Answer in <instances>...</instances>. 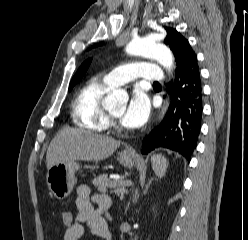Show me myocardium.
Masks as SVG:
<instances>
[{
	"instance_id": "myocardium-1",
	"label": "myocardium",
	"mask_w": 248,
	"mask_h": 240,
	"mask_svg": "<svg viewBox=\"0 0 248 240\" xmlns=\"http://www.w3.org/2000/svg\"><path fill=\"white\" fill-rule=\"evenodd\" d=\"M108 118L111 124L118 130L124 131V127L118 122V118H116L113 114L109 113Z\"/></svg>"
}]
</instances>
